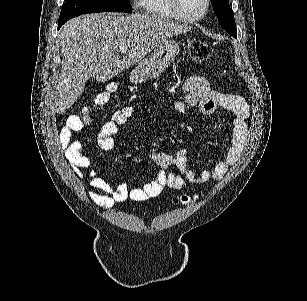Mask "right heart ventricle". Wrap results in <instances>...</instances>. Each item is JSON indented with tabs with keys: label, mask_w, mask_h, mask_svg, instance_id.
<instances>
[{
	"label": "right heart ventricle",
	"mask_w": 307,
	"mask_h": 301,
	"mask_svg": "<svg viewBox=\"0 0 307 301\" xmlns=\"http://www.w3.org/2000/svg\"><path fill=\"white\" fill-rule=\"evenodd\" d=\"M171 0H139L144 4V11L150 13L151 17H173V9H170Z\"/></svg>",
	"instance_id": "e07e8e85"
}]
</instances>
